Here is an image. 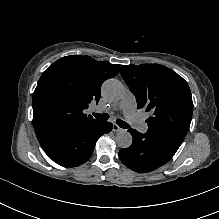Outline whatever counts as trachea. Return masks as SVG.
Here are the masks:
<instances>
[{"label": "trachea", "instance_id": "1", "mask_svg": "<svg viewBox=\"0 0 219 219\" xmlns=\"http://www.w3.org/2000/svg\"><path fill=\"white\" fill-rule=\"evenodd\" d=\"M96 119L106 121L108 119V114H99V113H94L93 114ZM117 125H119L121 128L127 129L130 128V125L120 119H117Z\"/></svg>", "mask_w": 219, "mask_h": 219}]
</instances>
